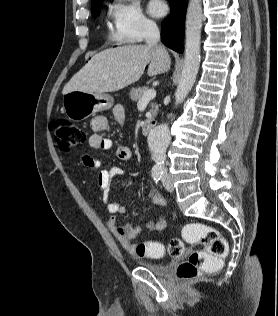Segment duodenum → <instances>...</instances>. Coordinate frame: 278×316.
<instances>
[{
	"label": "duodenum",
	"instance_id": "410a0bca",
	"mask_svg": "<svg viewBox=\"0 0 278 316\" xmlns=\"http://www.w3.org/2000/svg\"><path fill=\"white\" fill-rule=\"evenodd\" d=\"M154 126L155 124L154 123H148V124H145L142 128V132L144 135H149L152 130L154 129Z\"/></svg>",
	"mask_w": 278,
	"mask_h": 316
}]
</instances>
